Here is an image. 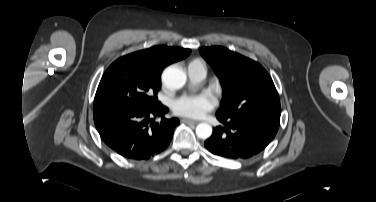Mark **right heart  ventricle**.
Listing matches in <instances>:
<instances>
[{
	"mask_svg": "<svg viewBox=\"0 0 376 202\" xmlns=\"http://www.w3.org/2000/svg\"><path fill=\"white\" fill-rule=\"evenodd\" d=\"M193 62H201L200 60H194ZM192 63V62H191Z\"/></svg>",
	"mask_w": 376,
	"mask_h": 202,
	"instance_id": "1",
	"label": "right heart ventricle"
}]
</instances>
